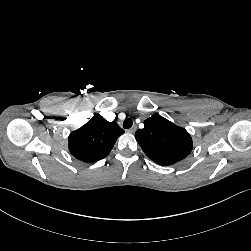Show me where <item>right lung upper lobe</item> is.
<instances>
[{"label":"right lung upper lobe","instance_id":"1","mask_svg":"<svg viewBox=\"0 0 251 251\" xmlns=\"http://www.w3.org/2000/svg\"><path fill=\"white\" fill-rule=\"evenodd\" d=\"M124 130L113 121L108 122L95 114L81 128L69 135V151L84 162L92 163L105 158Z\"/></svg>","mask_w":251,"mask_h":251}]
</instances>
